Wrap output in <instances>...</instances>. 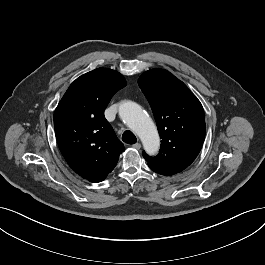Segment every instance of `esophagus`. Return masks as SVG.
Masks as SVG:
<instances>
[{"mask_svg": "<svg viewBox=\"0 0 265 265\" xmlns=\"http://www.w3.org/2000/svg\"><path fill=\"white\" fill-rule=\"evenodd\" d=\"M132 147L136 150H139L141 148V144L140 143H136V144H133Z\"/></svg>", "mask_w": 265, "mask_h": 265, "instance_id": "esophagus-1", "label": "esophagus"}]
</instances>
